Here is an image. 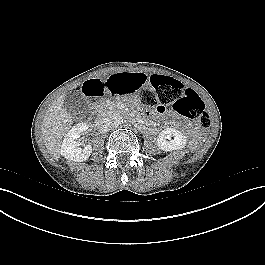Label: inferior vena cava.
Returning a JSON list of instances; mask_svg holds the SVG:
<instances>
[{
	"label": "inferior vena cava",
	"mask_w": 265,
	"mask_h": 265,
	"mask_svg": "<svg viewBox=\"0 0 265 265\" xmlns=\"http://www.w3.org/2000/svg\"><path fill=\"white\" fill-rule=\"evenodd\" d=\"M113 127V123L110 118L103 117L100 118L97 122V129L100 133H107Z\"/></svg>",
	"instance_id": "obj_1"
}]
</instances>
